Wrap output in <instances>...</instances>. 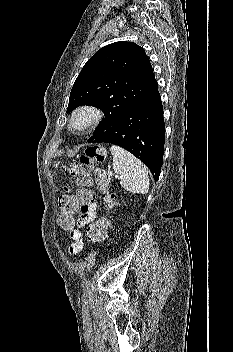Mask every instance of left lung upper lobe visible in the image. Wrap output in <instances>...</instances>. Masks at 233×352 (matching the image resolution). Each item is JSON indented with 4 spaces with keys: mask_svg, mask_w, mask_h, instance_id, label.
Wrapping results in <instances>:
<instances>
[{
    "mask_svg": "<svg viewBox=\"0 0 233 352\" xmlns=\"http://www.w3.org/2000/svg\"><path fill=\"white\" fill-rule=\"evenodd\" d=\"M157 86L145 50L133 42H116L101 48L86 62L71 89L67 112L82 105L96 106L104 112L105 119L90 142Z\"/></svg>",
    "mask_w": 233,
    "mask_h": 352,
    "instance_id": "1",
    "label": "left lung upper lobe"
}]
</instances>
